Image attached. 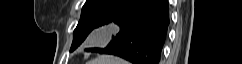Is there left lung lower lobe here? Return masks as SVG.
I'll return each instance as SVG.
<instances>
[{
	"label": "left lung lower lobe",
	"mask_w": 242,
	"mask_h": 64,
	"mask_svg": "<svg viewBox=\"0 0 242 64\" xmlns=\"http://www.w3.org/2000/svg\"><path fill=\"white\" fill-rule=\"evenodd\" d=\"M109 23L117 24L119 33L106 48L86 51L112 54L133 64H159L170 23L168 0H123L97 28Z\"/></svg>",
	"instance_id": "0a47b994"
}]
</instances>
